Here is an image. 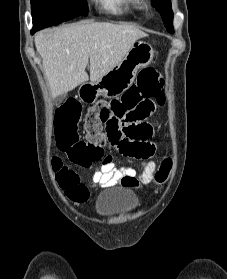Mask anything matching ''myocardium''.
I'll return each instance as SVG.
<instances>
[{
	"label": "myocardium",
	"mask_w": 227,
	"mask_h": 279,
	"mask_svg": "<svg viewBox=\"0 0 227 279\" xmlns=\"http://www.w3.org/2000/svg\"><path fill=\"white\" fill-rule=\"evenodd\" d=\"M144 8H145V9H150V6H149L147 3H145V4H144Z\"/></svg>",
	"instance_id": "f54148a6"
}]
</instances>
